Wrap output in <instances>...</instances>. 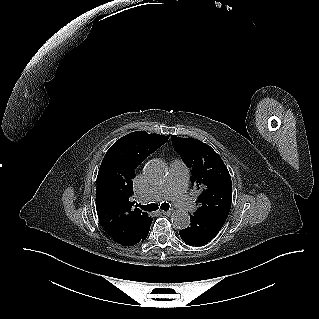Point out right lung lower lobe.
I'll return each mask as SVG.
<instances>
[{"label":"right lung lower lobe","mask_w":319,"mask_h":319,"mask_svg":"<svg viewBox=\"0 0 319 319\" xmlns=\"http://www.w3.org/2000/svg\"><path fill=\"white\" fill-rule=\"evenodd\" d=\"M151 222H152V218H150L146 222V224L143 226L141 231L136 236H134V238L131 241L130 246L135 245V244H137L139 242H142V241H144L146 239V237L148 235V232H149V229H150V226H151Z\"/></svg>","instance_id":"1"}]
</instances>
